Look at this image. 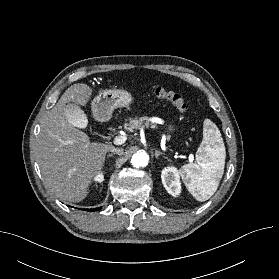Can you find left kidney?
<instances>
[{"label":"left kidney","mask_w":279,"mask_h":279,"mask_svg":"<svg viewBox=\"0 0 279 279\" xmlns=\"http://www.w3.org/2000/svg\"><path fill=\"white\" fill-rule=\"evenodd\" d=\"M162 184L167 192L176 197L181 193L179 171L175 167H166L161 173Z\"/></svg>","instance_id":"1"}]
</instances>
